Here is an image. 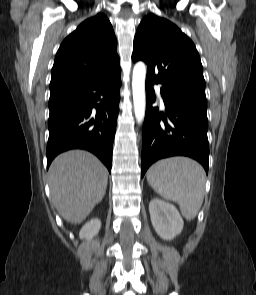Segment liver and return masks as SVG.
I'll use <instances>...</instances> for the list:
<instances>
[{
  "mask_svg": "<svg viewBox=\"0 0 256 295\" xmlns=\"http://www.w3.org/2000/svg\"><path fill=\"white\" fill-rule=\"evenodd\" d=\"M48 179L50 201L60 216L80 224L103 199L108 171L91 153L71 150L55 158Z\"/></svg>",
  "mask_w": 256,
  "mask_h": 295,
  "instance_id": "obj_1",
  "label": "liver"
}]
</instances>
